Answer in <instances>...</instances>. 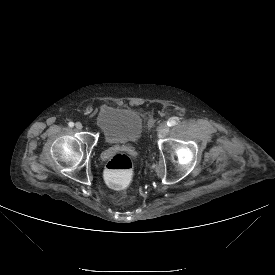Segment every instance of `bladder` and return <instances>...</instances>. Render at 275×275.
<instances>
[{
	"label": "bladder",
	"instance_id": "31cf9c89",
	"mask_svg": "<svg viewBox=\"0 0 275 275\" xmlns=\"http://www.w3.org/2000/svg\"><path fill=\"white\" fill-rule=\"evenodd\" d=\"M95 121L105 141L111 144L135 142L144 128L141 113L130 107L102 106Z\"/></svg>",
	"mask_w": 275,
	"mask_h": 275
}]
</instances>
